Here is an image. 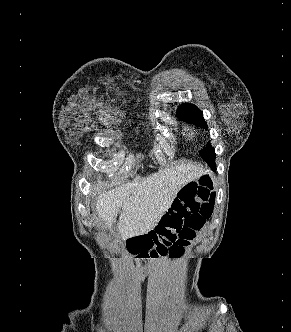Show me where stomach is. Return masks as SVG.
I'll list each match as a JSON object with an SVG mask.
<instances>
[{"instance_id":"obj_1","label":"stomach","mask_w":291,"mask_h":332,"mask_svg":"<svg viewBox=\"0 0 291 332\" xmlns=\"http://www.w3.org/2000/svg\"><path fill=\"white\" fill-rule=\"evenodd\" d=\"M197 186L207 190H213L215 188V177L211 172H205L199 178L195 180Z\"/></svg>"}]
</instances>
